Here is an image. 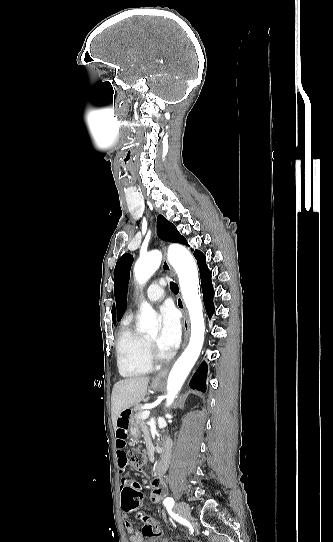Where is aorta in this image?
Masks as SVG:
<instances>
[{"label": "aorta", "instance_id": "obj_1", "mask_svg": "<svg viewBox=\"0 0 333 542\" xmlns=\"http://www.w3.org/2000/svg\"><path fill=\"white\" fill-rule=\"evenodd\" d=\"M168 252L173 258L172 266L176 274H178L181 294L188 310L191 328L189 344L177 362H175L168 376L166 406H171L201 354L205 338V322L203 318V306L198 294V272L192 254L184 246H178V244L169 246ZM161 260V254L157 250L149 252L146 256H140L134 268L136 280L140 284L147 282L155 274L156 270H158ZM157 326L158 320L155 310H153L150 304L144 302L137 330L142 332V330H152V328H157Z\"/></svg>", "mask_w": 333, "mask_h": 542}]
</instances>
